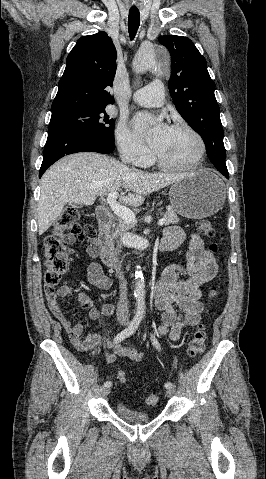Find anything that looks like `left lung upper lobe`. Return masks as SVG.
I'll return each mask as SVG.
<instances>
[{"mask_svg":"<svg viewBox=\"0 0 266 479\" xmlns=\"http://www.w3.org/2000/svg\"><path fill=\"white\" fill-rule=\"evenodd\" d=\"M158 40L171 54L168 87L176 109L202 137L212 164L227 171L220 108L205 58L187 37L164 35Z\"/></svg>","mask_w":266,"mask_h":479,"instance_id":"obj_1","label":"left lung upper lobe"}]
</instances>
